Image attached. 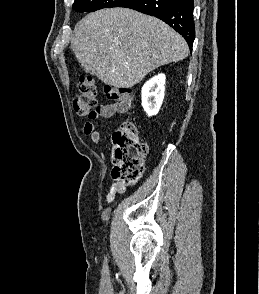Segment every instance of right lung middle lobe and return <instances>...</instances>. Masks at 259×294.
<instances>
[{
    "label": "right lung middle lobe",
    "instance_id": "right-lung-middle-lobe-1",
    "mask_svg": "<svg viewBox=\"0 0 259 294\" xmlns=\"http://www.w3.org/2000/svg\"><path fill=\"white\" fill-rule=\"evenodd\" d=\"M128 0H75L73 9L77 12H94L102 8L119 7Z\"/></svg>",
    "mask_w": 259,
    "mask_h": 294
}]
</instances>
